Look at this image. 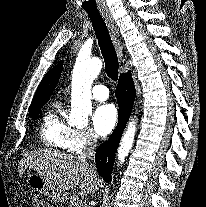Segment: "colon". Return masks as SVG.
Listing matches in <instances>:
<instances>
[{"instance_id":"5ec220e1","label":"colon","mask_w":206,"mask_h":207,"mask_svg":"<svg viewBox=\"0 0 206 207\" xmlns=\"http://www.w3.org/2000/svg\"><path fill=\"white\" fill-rule=\"evenodd\" d=\"M35 207H48V205L45 202V200H43L41 198H37L36 202H35Z\"/></svg>"}]
</instances>
